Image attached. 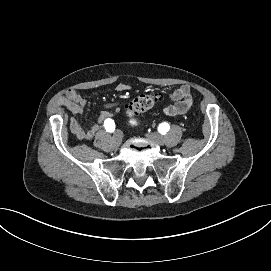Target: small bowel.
<instances>
[{
  "mask_svg": "<svg viewBox=\"0 0 271 271\" xmlns=\"http://www.w3.org/2000/svg\"><path fill=\"white\" fill-rule=\"evenodd\" d=\"M116 90L118 92H128L131 90L129 84L120 83L117 85ZM172 103L163 109V113L166 116H177L186 114L192 105L191 89L187 85H182L170 94ZM58 103L61 106L67 108L73 115H79L83 113L85 107V99L76 91L69 90L65 95L58 99ZM122 104L120 102L108 103L105 105L106 109L119 110ZM109 113L102 112L98 117L97 122L93 123L90 127L84 128L74 117L70 119V129L72 133L80 140H91L96 133L104 125L106 119H108Z\"/></svg>",
  "mask_w": 271,
  "mask_h": 271,
  "instance_id": "small-bowel-1",
  "label": "small bowel"
}]
</instances>
